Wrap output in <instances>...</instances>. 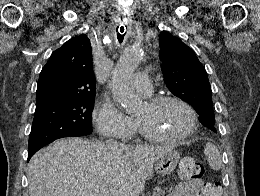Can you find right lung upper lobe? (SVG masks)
<instances>
[{
  "instance_id": "right-lung-upper-lobe-1",
  "label": "right lung upper lobe",
  "mask_w": 260,
  "mask_h": 196,
  "mask_svg": "<svg viewBox=\"0 0 260 196\" xmlns=\"http://www.w3.org/2000/svg\"><path fill=\"white\" fill-rule=\"evenodd\" d=\"M92 48L85 34L72 38L53 52L42 69L36 92V106L55 99L95 93Z\"/></svg>"
}]
</instances>
